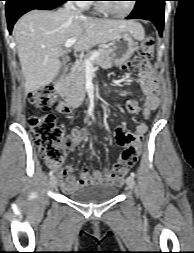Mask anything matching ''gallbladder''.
<instances>
[{
    "label": "gallbladder",
    "instance_id": "1",
    "mask_svg": "<svg viewBox=\"0 0 194 253\" xmlns=\"http://www.w3.org/2000/svg\"><path fill=\"white\" fill-rule=\"evenodd\" d=\"M64 71H65V66L62 63L61 67H60V69H59V71H58V73L55 77V81H59L62 78V76L64 75Z\"/></svg>",
    "mask_w": 194,
    "mask_h": 253
}]
</instances>
